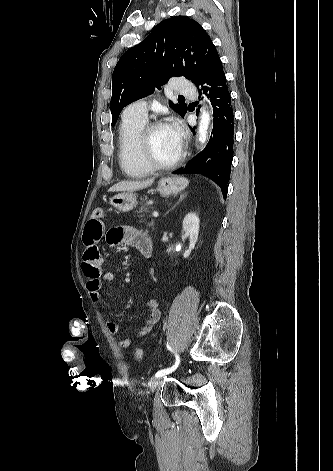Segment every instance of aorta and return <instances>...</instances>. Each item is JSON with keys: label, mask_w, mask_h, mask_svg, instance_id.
<instances>
[{"label": "aorta", "mask_w": 333, "mask_h": 471, "mask_svg": "<svg viewBox=\"0 0 333 471\" xmlns=\"http://www.w3.org/2000/svg\"><path fill=\"white\" fill-rule=\"evenodd\" d=\"M209 124H210V115L203 108L202 113H201V119L199 122V127H198V138L201 143H204L207 139Z\"/></svg>", "instance_id": "obj_1"}]
</instances>
